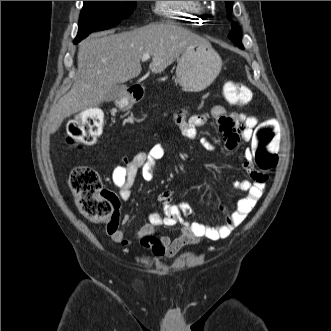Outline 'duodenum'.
I'll return each mask as SVG.
<instances>
[{"label":"duodenum","instance_id":"obj_1","mask_svg":"<svg viewBox=\"0 0 331 331\" xmlns=\"http://www.w3.org/2000/svg\"><path fill=\"white\" fill-rule=\"evenodd\" d=\"M127 96H129L132 100L138 101L144 95V89L141 86H133L126 92Z\"/></svg>","mask_w":331,"mask_h":331}]
</instances>
